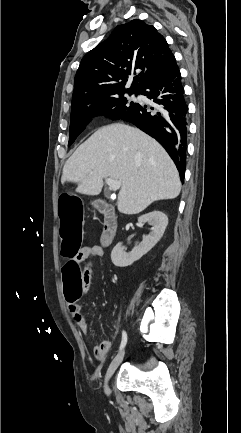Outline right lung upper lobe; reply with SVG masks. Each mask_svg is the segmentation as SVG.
I'll use <instances>...</instances> for the list:
<instances>
[{
    "label": "right lung upper lobe",
    "instance_id": "right-lung-upper-lobe-1",
    "mask_svg": "<svg viewBox=\"0 0 241 433\" xmlns=\"http://www.w3.org/2000/svg\"><path fill=\"white\" fill-rule=\"evenodd\" d=\"M175 57L164 37L141 20L117 26L104 42L81 60L74 81L72 105L123 91H139L165 73ZM130 88L125 85L132 74Z\"/></svg>",
    "mask_w": 241,
    "mask_h": 433
}]
</instances>
